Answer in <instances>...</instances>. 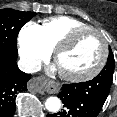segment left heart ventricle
Segmentation results:
<instances>
[{"label":"left heart ventricle","mask_w":117,"mask_h":117,"mask_svg":"<svg viewBox=\"0 0 117 117\" xmlns=\"http://www.w3.org/2000/svg\"><path fill=\"white\" fill-rule=\"evenodd\" d=\"M102 52L100 37L91 32L84 33L59 55L57 67L63 73L82 74L99 62Z\"/></svg>","instance_id":"b2bd125f"}]
</instances>
